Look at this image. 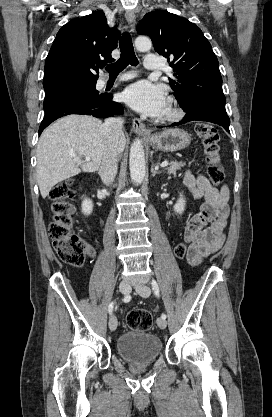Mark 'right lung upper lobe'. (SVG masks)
<instances>
[{
	"label": "right lung upper lobe",
	"instance_id": "cb5924a9",
	"mask_svg": "<svg viewBox=\"0 0 272 417\" xmlns=\"http://www.w3.org/2000/svg\"><path fill=\"white\" fill-rule=\"evenodd\" d=\"M119 36L101 11L69 21L57 33L46 58L44 89L96 82L98 68L114 60L111 52Z\"/></svg>",
	"mask_w": 272,
	"mask_h": 417
}]
</instances>
